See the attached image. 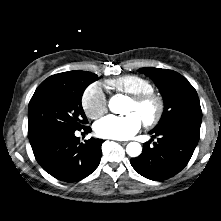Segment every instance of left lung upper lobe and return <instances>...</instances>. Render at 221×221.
<instances>
[{
  "label": "left lung upper lobe",
  "mask_w": 221,
  "mask_h": 221,
  "mask_svg": "<svg viewBox=\"0 0 221 221\" xmlns=\"http://www.w3.org/2000/svg\"><path fill=\"white\" fill-rule=\"evenodd\" d=\"M140 72L154 80L164 99L163 115L153 130L177 120L201 124L200 101L196 90L186 78L175 71L153 67L141 68Z\"/></svg>",
  "instance_id": "1"
}]
</instances>
